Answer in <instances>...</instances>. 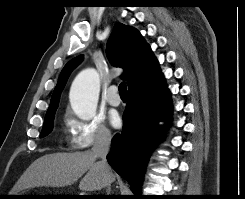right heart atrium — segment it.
I'll list each match as a JSON object with an SVG mask.
<instances>
[{
	"label": "right heart atrium",
	"instance_id": "right-heart-atrium-1",
	"mask_svg": "<svg viewBox=\"0 0 245 199\" xmlns=\"http://www.w3.org/2000/svg\"><path fill=\"white\" fill-rule=\"evenodd\" d=\"M68 140L72 149L84 150L97 144H107L112 135L100 116L82 120L69 114L66 119Z\"/></svg>",
	"mask_w": 245,
	"mask_h": 199
}]
</instances>
